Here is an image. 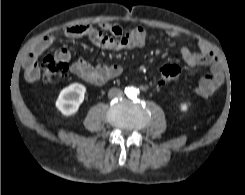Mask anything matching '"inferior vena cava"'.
<instances>
[{
  "label": "inferior vena cava",
  "mask_w": 245,
  "mask_h": 195,
  "mask_svg": "<svg viewBox=\"0 0 245 195\" xmlns=\"http://www.w3.org/2000/svg\"><path fill=\"white\" fill-rule=\"evenodd\" d=\"M123 96V91L121 89H118V88H112L109 90L108 92V97L110 99H113V98H120Z\"/></svg>",
  "instance_id": "1"
}]
</instances>
